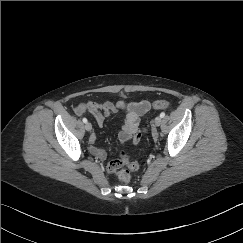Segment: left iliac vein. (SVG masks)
<instances>
[{
  "label": "left iliac vein",
  "mask_w": 243,
  "mask_h": 243,
  "mask_svg": "<svg viewBox=\"0 0 243 243\" xmlns=\"http://www.w3.org/2000/svg\"><path fill=\"white\" fill-rule=\"evenodd\" d=\"M154 123L156 126H160L161 123H162V118L160 116H157L155 119H154Z\"/></svg>",
  "instance_id": "left-iliac-vein-1"
}]
</instances>
